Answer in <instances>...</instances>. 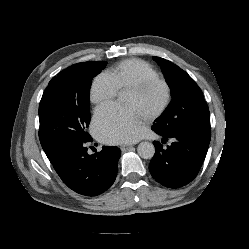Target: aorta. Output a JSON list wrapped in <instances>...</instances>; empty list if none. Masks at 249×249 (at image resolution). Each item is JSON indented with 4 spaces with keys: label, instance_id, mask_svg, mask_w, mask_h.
<instances>
[{
    "label": "aorta",
    "instance_id": "obj_1",
    "mask_svg": "<svg viewBox=\"0 0 249 249\" xmlns=\"http://www.w3.org/2000/svg\"><path fill=\"white\" fill-rule=\"evenodd\" d=\"M138 154L143 159H151L154 156L155 148L150 142L143 141L138 145Z\"/></svg>",
    "mask_w": 249,
    "mask_h": 249
}]
</instances>
